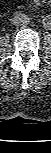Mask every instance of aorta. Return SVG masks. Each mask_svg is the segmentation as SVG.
<instances>
[{"mask_svg":"<svg viewBox=\"0 0 51 153\" xmlns=\"http://www.w3.org/2000/svg\"><path fill=\"white\" fill-rule=\"evenodd\" d=\"M42 28L46 31H51V15L43 16Z\"/></svg>","mask_w":51,"mask_h":153,"instance_id":"762f6f07","label":"aorta"}]
</instances>
